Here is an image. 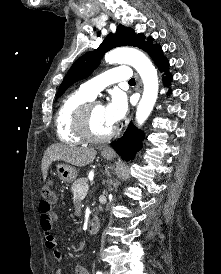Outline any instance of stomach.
<instances>
[{
	"label": "stomach",
	"mask_w": 221,
	"mask_h": 274,
	"mask_svg": "<svg viewBox=\"0 0 221 274\" xmlns=\"http://www.w3.org/2000/svg\"><path fill=\"white\" fill-rule=\"evenodd\" d=\"M102 156L104 159H107V160H111L113 158L112 154L102 153ZM56 170H57L58 176L60 177L63 183L73 182L76 179L78 174V171L76 170L75 167L68 164H64V163L57 164Z\"/></svg>",
	"instance_id": "stomach-1"
}]
</instances>
